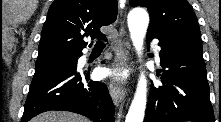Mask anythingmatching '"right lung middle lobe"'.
Segmentation results:
<instances>
[{"label": "right lung middle lobe", "mask_w": 221, "mask_h": 122, "mask_svg": "<svg viewBox=\"0 0 221 122\" xmlns=\"http://www.w3.org/2000/svg\"><path fill=\"white\" fill-rule=\"evenodd\" d=\"M79 55L41 59L36 61L34 77L57 70L76 68Z\"/></svg>", "instance_id": "obj_1"}]
</instances>
